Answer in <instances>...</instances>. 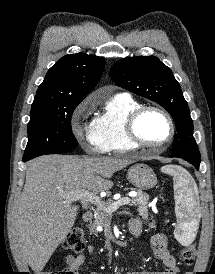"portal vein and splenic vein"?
I'll return each mask as SVG.
<instances>
[{
  "label": "portal vein and splenic vein",
  "instance_id": "1",
  "mask_svg": "<svg viewBox=\"0 0 215 274\" xmlns=\"http://www.w3.org/2000/svg\"><path fill=\"white\" fill-rule=\"evenodd\" d=\"M135 195V194H134ZM67 201L82 200L86 203H92L98 207H103L104 202L94 193L84 189L69 192L65 195ZM131 202L130 198L124 197L113 202L109 207L104 208L108 213L115 212L120 206L128 205Z\"/></svg>",
  "mask_w": 215,
  "mask_h": 274
}]
</instances>
